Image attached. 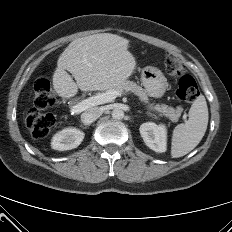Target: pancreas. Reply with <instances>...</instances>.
I'll return each mask as SVG.
<instances>
[{
    "instance_id": "obj_1",
    "label": "pancreas",
    "mask_w": 232,
    "mask_h": 232,
    "mask_svg": "<svg viewBox=\"0 0 232 232\" xmlns=\"http://www.w3.org/2000/svg\"><path fill=\"white\" fill-rule=\"evenodd\" d=\"M131 91L135 95H137L141 102L144 104H148L146 107L149 110H154L160 113V115H163L167 118H169L172 122H177L181 112L178 110H175L173 107H169L165 104H149V98L146 93V91L139 85H137L135 82L132 81H124L121 84L108 89L107 91ZM106 91V92H107Z\"/></svg>"
}]
</instances>
